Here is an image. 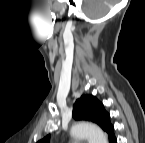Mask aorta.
I'll return each instance as SVG.
<instances>
[{"instance_id": "762f6f07", "label": "aorta", "mask_w": 145, "mask_h": 143, "mask_svg": "<svg viewBox=\"0 0 145 143\" xmlns=\"http://www.w3.org/2000/svg\"><path fill=\"white\" fill-rule=\"evenodd\" d=\"M71 135L74 138H85L89 143H108L106 134L96 125L79 122L71 127Z\"/></svg>"}]
</instances>
